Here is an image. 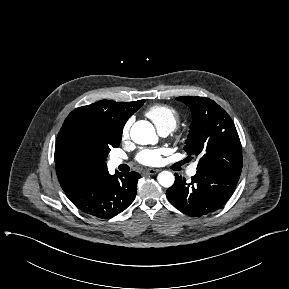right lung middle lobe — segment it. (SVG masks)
<instances>
[{
  "instance_id": "dd1d6c3e",
  "label": "right lung middle lobe",
  "mask_w": 289,
  "mask_h": 289,
  "mask_svg": "<svg viewBox=\"0 0 289 289\" xmlns=\"http://www.w3.org/2000/svg\"><path fill=\"white\" fill-rule=\"evenodd\" d=\"M121 138L122 133L111 135L103 126L73 121L62 126L55 148L71 168L86 171L105 165L110 148H117Z\"/></svg>"
}]
</instances>
